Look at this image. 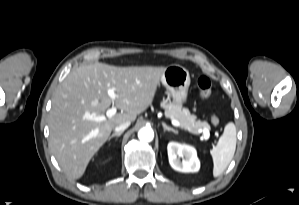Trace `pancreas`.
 <instances>
[{
	"label": "pancreas",
	"instance_id": "pancreas-1",
	"mask_svg": "<svg viewBox=\"0 0 299 205\" xmlns=\"http://www.w3.org/2000/svg\"><path fill=\"white\" fill-rule=\"evenodd\" d=\"M163 107L166 110V116L170 119H175L180 122L184 130L193 134H199L210 130V125L207 121L197 120V117L189 112L188 109L183 108L182 105L176 103L163 102ZM204 137L207 138L204 134Z\"/></svg>",
	"mask_w": 299,
	"mask_h": 205
}]
</instances>
